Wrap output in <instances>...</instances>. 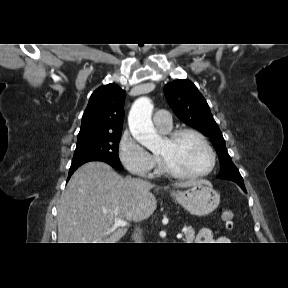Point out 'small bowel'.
<instances>
[{
	"label": "small bowel",
	"mask_w": 288,
	"mask_h": 288,
	"mask_svg": "<svg viewBox=\"0 0 288 288\" xmlns=\"http://www.w3.org/2000/svg\"><path fill=\"white\" fill-rule=\"evenodd\" d=\"M198 243H229V238L225 236H219L214 238L213 232L208 228H203L199 231L197 236Z\"/></svg>",
	"instance_id": "small-bowel-1"
}]
</instances>
